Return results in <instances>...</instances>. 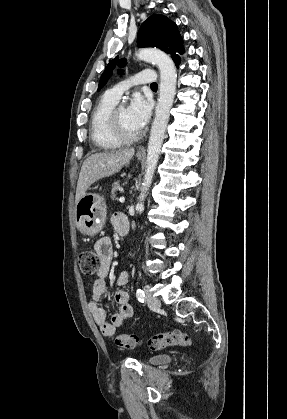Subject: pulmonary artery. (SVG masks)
<instances>
[{
	"label": "pulmonary artery",
	"mask_w": 287,
	"mask_h": 419,
	"mask_svg": "<svg viewBox=\"0 0 287 419\" xmlns=\"http://www.w3.org/2000/svg\"><path fill=\"white\" fill-rule=\"evenodd\" d=\"M156 80H157V76L154 71L143 70L133 75L131 78L113 86L107 91V94L118 101L122 93L128 88H130L131 86L138 85V84H147V83L152 84V83H155Z\"/></svg>",
	"instance_id": "pulmonary-artery-1"
}]
</instances>
